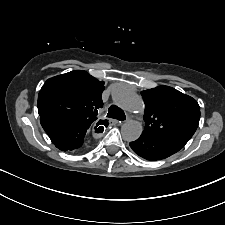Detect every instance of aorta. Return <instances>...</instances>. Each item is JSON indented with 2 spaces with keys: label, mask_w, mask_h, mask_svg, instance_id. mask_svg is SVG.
Instances as JSON below:
<instances>
[{
  "label": "aorta",
  "mask_w": 225,
  "mask_h": 225,
  "mask_svg": "<svg viewBox=\"0 0 225 225\" xmlns=\"http://www.w3.org/2000/svg\"><path fill=\"white\" fill-rule=\"evenodd\" d=\"M114 103L129 112L141 113L144 110V102L135 92L126 88H118L113 94ZM143 126L140 122L129 120L122 125V137L126 141H135L142 134Z\"/></svg>",
  "instance_id": "obj_1"
}]
</instances>
